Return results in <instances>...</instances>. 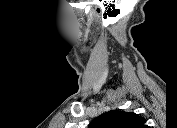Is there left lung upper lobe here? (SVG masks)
Instances as JSON below:
<instances>
[{
  "mask_svg": "<svg viewBox=\"0 0 177 128\" xmlns=\"http://www.w3.org/2000/svg\"><path fill=\"white\" fill-rule=\"evenodd\" d=\"M144 118L134 112L111 110L96 118L93 128H147Z\"/></svg>",
  "mask_w": 177,
  "mask_h": 128,
  "instance_id": "left-lung-upper-lobe-1",
  "label": "left lung upper lobe"
}]
</instances>
